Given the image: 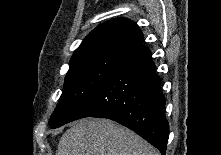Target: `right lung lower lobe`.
I'll use <instances>...</instances> for the list:
<instances>
[{"label":"right lung lower lobe","mask_w":221,"mask_h":155,"mask_svg":"<svg viewBox=\"0 0 221 155\" xmlns=\"http://www.w3.org/2000/svg\"><path fill=\"white\" fill-rule=\"evenodd\" d=\"M150 50L142 44L116 64L81 116L109 118L133 130L165 155L169 125Z\"/></svg>","instance_id":"1"}]
</instances>
